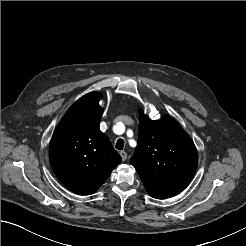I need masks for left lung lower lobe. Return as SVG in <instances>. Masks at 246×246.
Masks as SVG:
<instances>
[{"instance_id":"obj_1","label":"left lung lower lobe","mask_w":246,"mask_h":246,"mask_svg":"<svg viewBox=\"0 0 246 246\" xmlns=\"http://www.w3.org/2000/svg\"><path fill=\"white\" fill-rule=\"evenodd\" d=\"M152 197L156 198V199H165L167 197L165 196H161V195H158V194H154V193H149Z\"/></svg>"}]
</instances>
